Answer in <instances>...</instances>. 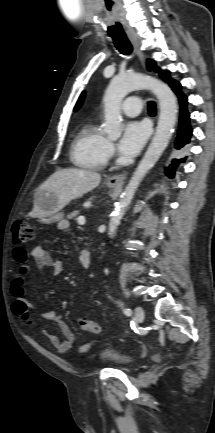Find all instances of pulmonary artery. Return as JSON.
<instances>
[{
    "label": "pulmonary artery",
    "instance_id": "obj_1",
    "mask_svg": "<svg viewBox=\"0 0 215 433\" xmlns=\"http://www.w3.org/2000/svg\"><path fill=\"white\" fill-rule=\"evenodd\" d=\"M141 107L140 99L136 96H131L123 102L121 109L128 116H136L140 113Z\"/></svg>",
    "mask_w": 215,
    "mask_h": 433
}]
</instances>
